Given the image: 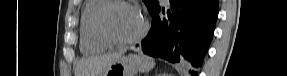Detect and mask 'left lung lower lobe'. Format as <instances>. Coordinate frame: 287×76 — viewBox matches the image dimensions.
I'll return each instance as SVG.
<instances>
[{"instance_id":"obj_1","label":"left lung lower lobe","mask_w":287,"mask_h":76,"mask_svg":"<svg viewBox=\"0 0 287 76\" xmlns=\"http://www.w3.org/2000/svg\"><path fill=\"white\" fill-rule=\"evenodd\" d=\"M170 10L160 17L157 3L150 10L152 26L137 47L145 54L187 65L189 73L203 63L218 17V0H169Z\"/></svg>"}]
</instances>
